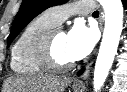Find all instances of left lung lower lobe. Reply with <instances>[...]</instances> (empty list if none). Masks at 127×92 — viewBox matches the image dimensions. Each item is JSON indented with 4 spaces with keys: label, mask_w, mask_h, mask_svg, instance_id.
Here are the masks:
<instances>
[{
    "label": "left lung lower lobe",
    "mask_w": 127,
    "mask_h": 92,
    "mask_svg": "<svg viewBox=\"0 0 127 92\" xmlns=\"http://www.w3.org/2000/svg\"><path fill=\"white\" fill-rule=\"evenodd\" d=\"M122 2H123V4H124L125 8H127V0H122ZM81 73H82V71L79 72L78 74H81Z\"/></svg>",
    "instance_id": "left-lung-lower-lobe-1"
}]
</instances>
